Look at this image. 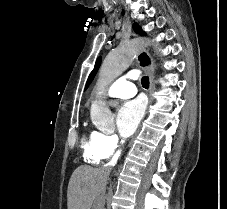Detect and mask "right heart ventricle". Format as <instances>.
<instances>
[{"label":"right heart ventricle","mask_w":227,"mask_h":209,"mask_svg":"<svg viewBox=\"0 0 227 209\" xmlns=\"http://www.w3.org/2000/svg\"><path fill=\"white\" fill-rule=\"evenodd\" d=\"M84 160L91 165H99L110 155L102 145V133L92 131L82 144Z\"/></svg>","instance_id":"1"}]
</instances>
